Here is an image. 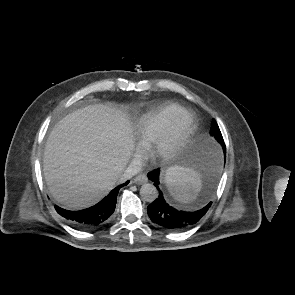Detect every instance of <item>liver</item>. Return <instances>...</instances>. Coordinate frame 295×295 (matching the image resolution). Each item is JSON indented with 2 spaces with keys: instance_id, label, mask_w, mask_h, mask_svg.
<instances>
[{
  "instance_id": "obj_1",
  "label": "liver",
  "mask_w": 295,
  "mask_h": 295,
  "mask_svg": "<svg viewBox=\"0 0 295 295\" xmlns=\"http://www.w3.org/2000/svg\"><path fill=\"white\" fill-rule=\"evenodd\" d=\"M129 121L117 109L90 105L65 116L51 131L43 157L53 198L71 209L99 202L118 182L134 149Z\"/></svg>"
}]
</instances>
